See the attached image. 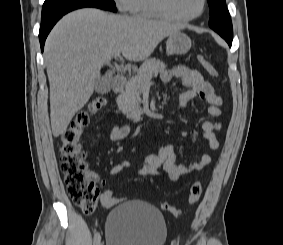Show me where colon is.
Here are the masks:
<instances>
[{"label": "colon", "instance_id": "1", "mask_svg": "<svg viewBox=\"0 0 283 245\" xmlns=\"http://www.w3.org/2000/svg\"><path fill=\"white\" fill-rule=\"evenodd\" d=\"M205 71L212 77L217 78L219 73L215 66L203 56L198 57ZM105 105L103 98H97L90 104L87 111L81 112L61 136L59 146L60 167L68 195L71 200L84 212L91 213L100 202L106 208L116 206L120 200L116 198L113 191L106 189L102 193L87 172L85 152L81 148V137L90 118ZM202 196L200 182L192 183L189 189V203H197ZM162 208L173 215H179V210L174 206L163 203Z\"/></svg>", "mask_w": 283, "mask_h": 245}]
</instances>
